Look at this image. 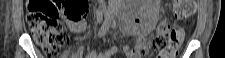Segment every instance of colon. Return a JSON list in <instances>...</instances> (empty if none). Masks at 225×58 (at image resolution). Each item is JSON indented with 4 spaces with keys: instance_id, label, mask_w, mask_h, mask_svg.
I'll use <instances>...</instances> for the list:
<instances>
[{
    "instance_id": "1",
    "label": "colon",
    "mask_w": 225,
    "mask_h": 58,
    "mask_svg": "<svg viewBox=\"0 0 225 58\" xmlns=\"http://www.w3.org/2000/svg\"><path fill=\"white\" fill-rule=\"evenodd\" d=\"M64 7V17L70 21H79L87 13V2L29 0L27 3L26 22L37 44L48 57L57 56L68 43V36L63 24L59 21V5ZM173 15L178 19L190 16L194 12L192 0H174ZM184 37L181 28L173 25H161L152 44L135 45L131 58L148 57L153 51H159L161 58L174 57Z\"/></svg>"
}]
</instances>
